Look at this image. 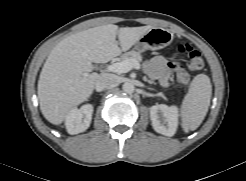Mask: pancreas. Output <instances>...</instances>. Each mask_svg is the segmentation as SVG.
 Returning a JSON list of instances; mask_svg holds the SVG:
<instances>
[{
  "label": "pancreas",
  "instance_id": "1",
  "mask_svg": "<svg viewBox=\"0 0 246 181\" xmlns=\"http://www.w3.org/2000/svg\"><path fill=\"white\" fill-rule=\"evenodd\" d=\"M129 59H134L135 61H137L138 63H140L142 61V56L140 54V52L137 51H129L124 53L121 57L120 60L121 61H125V60H129Z\"/></svg>",
  "mask_w": 246,
  "mask_h": 181
}]
</instances>
